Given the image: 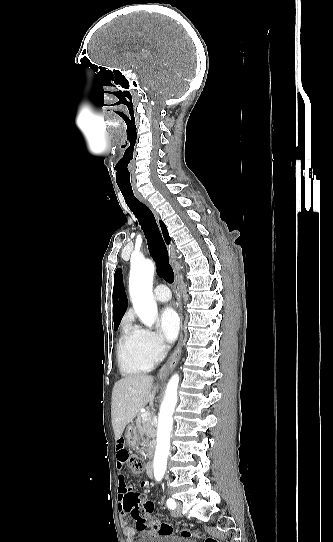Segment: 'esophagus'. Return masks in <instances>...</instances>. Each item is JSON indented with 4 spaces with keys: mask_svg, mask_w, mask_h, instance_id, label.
<instances>
[{
    "mask_svg": "<svg viewBox=\"0 0 333 542\" xmlns=\"http://www.w3.org/2000/svg\"><path fill=\"white\" fill-rule=\"evenodd\" d=\"M135 193H136V196L140 200H142V202H144L152 210L155 217L158 219V214L152 208L151 204L149 202H147V200L144 199L139 192L136 191ZM170 260L173 263V255L170 256ZM174 273H175V287H174L175 288V294H176L177 298L180 300L181 299V290H180L181 283H180L179 273L175 268H174ZM182 342H183V334L181 333L180 339H179V341H178V343H177L171 357L166 362L165 368L158 373L159 379L165 378L167 373L170 372L171 370H173L176 367V365L178 364V362H179V360L181 358V353H182Z\"/></svg>",
    "mask_w": 333,
    "mask_h": 542,
    "instance_id": "obj_1",
    "label": "esophagus"
}]
</instances>
